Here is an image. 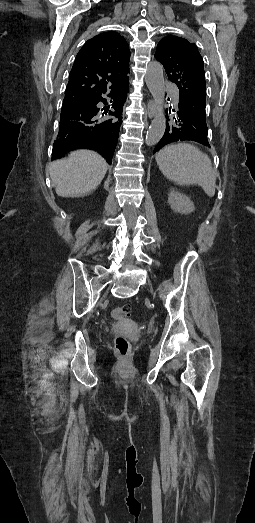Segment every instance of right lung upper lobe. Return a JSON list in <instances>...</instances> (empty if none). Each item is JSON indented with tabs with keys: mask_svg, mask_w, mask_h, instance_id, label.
Listing matches in <instances>:
<instances>
[{
	"mask_svg": "<svg viewBox=\"0 0 255 523\" xmlns=\"http://www.w3.org/2000/svg\"><path fill=\"white\" fill-rule=\"evenodd\" d=\"M130 50L126 40L115 32L101 33L89 39L78 52L66 86L61 109L59 133L54 142L52 160L67 151L88 148L97 150L112 163L122 122L125 93L128 90ZM110 91L107 101L104 94ZM97 102L99 130L92 143L83 141V120L79 107Z\"/></svg>",
	"mask_w": 255,
	"mask_h": 523,
	"instance_id": "1",
	"label": "right lung upper lobe"
}]
</instances>
